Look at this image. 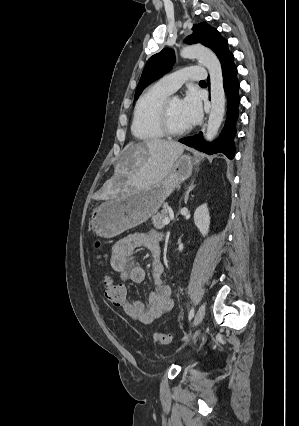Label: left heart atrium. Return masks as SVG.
Listing matches in <instances>:
<instances>
[{
  "label": "left heart atrium",
  "mask_w": 299,
  "mask_h": 426,
  "mask_svg": "<svg viewBox=\"0 0 299 426\" xmlns=\"http://www.w3.org/2000/svg\"><path fill=\"white\" fill-rule=\"evenodd\" d=\"M182 112L188 125L199 122L202 116L201 101L194 92H189L181 101Z\"/></svg>",
  "instance_id": "39dd6f15"
}]
</instances>
